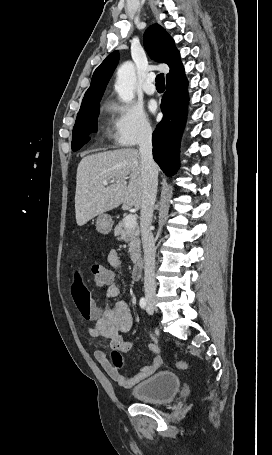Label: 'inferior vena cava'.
Listing matches in <instances>:
<instances>
[{
	"instance_id": "inferior-vena-cava-1",
	"label": "inferior vena cava",
	"mask_w": 272,
	"mask_h": 455,
	"mask_svg": "<svg viewBox=\"0 0 272 455\" xmlns=\"http://www.w3.org/2000/svg\"><path fill=\"white\" fill-rule=\"evenodd\" d=\"M142 176L144 184L143 200L140 212L141 237L144 251V289L147 298L155 297V241L150 226L156 201L158 169L152 156V129L145 127L139 141Z\"/></svg>"
}]
</instances>
